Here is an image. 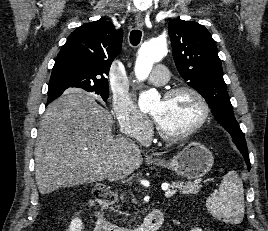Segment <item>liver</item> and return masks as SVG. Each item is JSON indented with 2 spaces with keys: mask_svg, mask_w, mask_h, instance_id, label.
Here are the masks:
<instances>
[{
  "mask_svg": "<svg viewBox=\"0 0 268 231\" xmlns=\"http://www.w3.org/2000/svg\"><path fill=\"white\" fill-rule=\"evenodd\" d=\"M112 126L109 111L81 90H71L48 105L35 147L39 192L120 180L139 168V147L127 138H115Z\"/></svg>",
  "mask_w": 268,
  "mask_h": 231,
  "instance_id": "6515ba94",
  "label": "liver"
}]
</instances>
